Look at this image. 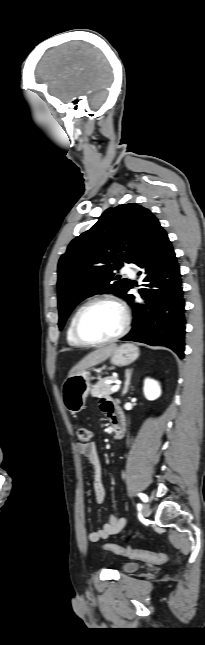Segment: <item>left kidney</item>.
Segmentation results:
<instances>
[{"label": "left kidney", "instance_id": "1", "mask_svg": "<svg viewBox=\"0 0 205 645\" xmlns=\"http://www.w3.org/2000/svg\"><path fill=\"white\" fill-rule=\"evenodd\" d=\"M143 391L146 399L150 401L156 400L161 395V388L159 383L150 378L145 379Z\"/></svg>", "mask_w": 205, "mask_h": 645}]
</instances>
